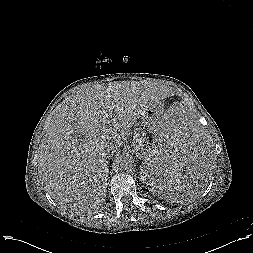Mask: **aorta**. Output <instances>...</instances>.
<instances>
[{
    "mask_svg": "<svg viewBox=\"0 0 253 253\" xmlns=\"http://www.w3.org/2000/svg\"><path fill=\"white\" fill-rule=\"evenodd\" d=\"M118 163L120 167L124 170H130L134 168L135 166V161L132 155L126 153L122 154L121 156L118 157Z\"/></svg>",
    "mask_w": 253,
    "mask_h": 253,
    "instance_id": "obj_1",
    "label": "aorta"
}]
</instances>
